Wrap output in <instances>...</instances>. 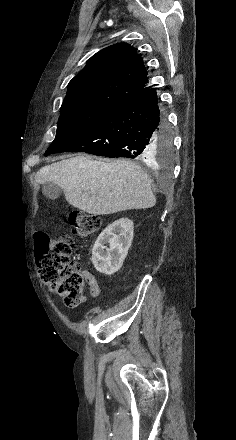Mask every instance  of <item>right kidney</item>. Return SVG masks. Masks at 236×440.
<instances>
[{
  "mask_svg": "<svg viewBox=\"0 0 236 440\" xmlns=\"http://www.w3.org/2000/svg\"><path fill=\"white\" fill-rule=\"evenodd\" d=\"M134 224L128 218H121L105 228L92 249V263L103 274L112 275L123 265L131 247ZM106 244H109L107 248Z\"/></svg>",
  "mask_w": 236,
  "mask_h": 440,
  "instance_id": "1",
  "label": "right kidney"
}]
</instances>
